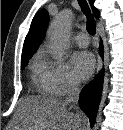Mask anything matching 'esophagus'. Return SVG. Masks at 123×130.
Masks as SVG:
<instances>
[{
    "label": "esophagus",
    "mask_w": 123,
    "mask_h": 130,
    "mask_svg": "<svg viewBox=\"0 0 123 130\" xmlns=\"http://www.w3.org/2000/svg\"><path fill=\"white\" fill-rule=\"evenodd\" d=\"M101 68H102V61L99 59L98 66H97V71H100Z\"/></svg>",
    "instance_id": "esophagus-1"
}]
</instances>
